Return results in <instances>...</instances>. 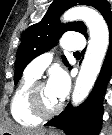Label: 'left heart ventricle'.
I'll list each match as a JSON object with an SVG mask.
<instances>
[{
    "label": "left heart ventricle",
    "mask_w": 112,
    "mask_h": 135,
    "mask_svg": "<svg viewBox=\"0 0 112 135\" xmlns=\"http://www.w3.org/2000/svg\"><path fill=\"white\" fill-rule=\"evenodd\" d=\"M40 102L44 109L51 110L54 109L58 104L59 100H57L49 90L47 84L43 85L40 88Z\"/></svg>",
    "instance_id": "b2bd125f"
}]
</instances>
